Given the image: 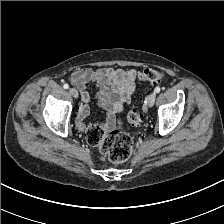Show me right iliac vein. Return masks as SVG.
<instances>
[{
    "label": "right iliac vein",
    "instance_id": "obj_1",
    "mask_svg": "<svg viewBox=\"0 0 224 224\" xmlns=\"http://www.w3.org/2000/svg\"><path fill=\"white\" fill-rule=\"evenodd\" d=\"M69 91L74 98H78V91L75 88H70Z\"/></svg>",
    "mask_w": 224,
    "mask_h": 224
}]
</instances>
